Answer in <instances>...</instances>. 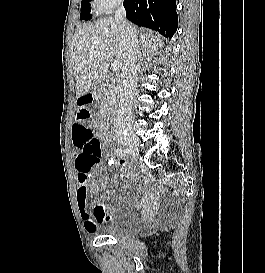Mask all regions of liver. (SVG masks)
Wrapping results in <instances>:
<instances>
[{
    "mask_svg": "<svg viewBox=\"0 0 265 273\" xmlns=\"http://www.w3.org/2000/svg\"><path fill=\"white\" fill-rule=\"evenodd\" d=\"M139 41L148 51L162 47L163 42L152 32L145 33L134 28ZM71 57L76 80V96L80 98L95 89L108 72L109 64L126 61V45L115 20L100 18L91 25L80 27L71 42Z\"/></svg>",
    "mask_w": 265,
    "mask_h": 273,
    "instance_id": "6515ba94",
    "label": "liver"
}]
</instances>
